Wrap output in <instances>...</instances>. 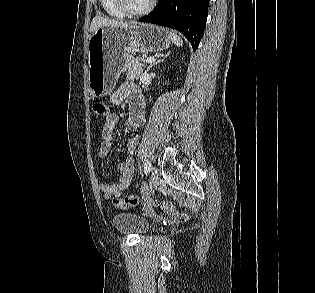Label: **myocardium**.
<instances>
[{"label":"myocardium","instance_id":"f54148a6","mask_svg":"<svg viewBox=\"0 0 315 293\" xmlns=\"http://www.w3.org/2000/svg\"><path fill=\"white\" fill-rule=\"evenodd\" d=\"M117 8L126 16H141L149 13L156 5V0H150L149 4L139 10L130 7L128 0H114Z\"/></svg>","mask_w":315,"mask_h":293}]
</instances>
